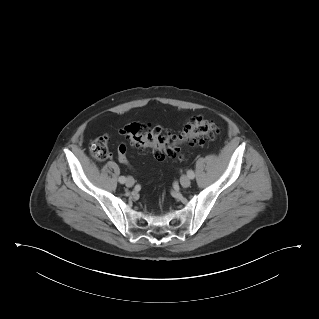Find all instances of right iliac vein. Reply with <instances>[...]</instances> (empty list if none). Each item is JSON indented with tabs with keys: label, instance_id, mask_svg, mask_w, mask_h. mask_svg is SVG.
<instances>
[{
	"label": "right iliac vein",
	"instance_id": "right-iliac-vein-1",
	"mask_svg": "<svg viewBox=\"0 0 319 319\" xmlns=\"http://www.w3.org/2000/svg\"><path fill=\"white\" fill-rule=\"evenodd\" d=\"M135 181L132 177H128L126 180V186L127 187H132L134 185Z\"/></svg>",
	"mask_w": 319,
	"mask_h": 319
}]
</instances>
